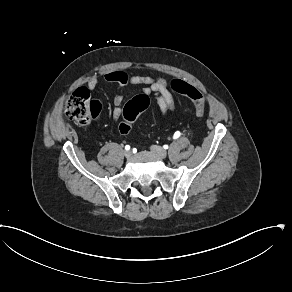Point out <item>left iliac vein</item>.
Listing matches in <instances>:
<instances>
[{
    "label": "left iliac vein",
    "instance_id": "1",
    "mask_svg": "<svg viewBox=\"0 0 292 292\" xmlns=\"http://www.w3.org/2000/svg\"><path fill=\"white\" fill-rule=\"evenodd\" d=\"M151 151L156 154L158 157H160L161 159H165L167 158V152L166 150H164L162 147L157 146V145H152L150 147Z\"/></svg>",
    "mask_w": 292,
    "mask_h": 292
}]
</instances>
